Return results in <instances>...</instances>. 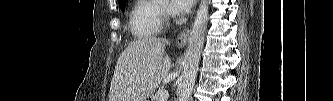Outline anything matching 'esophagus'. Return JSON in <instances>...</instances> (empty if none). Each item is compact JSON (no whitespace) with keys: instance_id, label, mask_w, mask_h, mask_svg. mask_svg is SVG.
Segmentation results:
<instances>
[{"instance_id":"1","label":"esophagus","mask_w":333,"mask_h":101,"mask_svg":"<svg viewBox=\"0 0 333 101\" xmlns=\"http://www.w3.org/2000/svg\"><path fill=\"white\" fill-rule=\"evenodd\" d=\"M197 2V1H196ZM189 39V29L180 32L176 38V45L179 47L185 46Z\"/></svg>"}]
</instances>
